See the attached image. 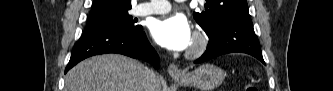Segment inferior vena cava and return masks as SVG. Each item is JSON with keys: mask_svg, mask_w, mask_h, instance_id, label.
<instances>
[{"mask_svg": "<svg viewBox=\"0 0 333 91\" xmlns=\"http://www.w3.org/2000/svg\"><path fill=\"white\" fill-rule=\"evenodd\" d=\"M157 81L155 72L151 69H147L145 72V91H154V86Z\"/></svg>", "mask_w": 333, "mask_h": 91, "instance_id": "obj_1", "label": "inferior vena cava"}]
</instances>
